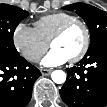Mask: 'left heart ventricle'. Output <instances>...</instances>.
<instances>
[{
  "label": "left heart ventricle",
  "instance_id": "1",
  "mask_svg": "<svg viewBox=\"0 0 107 107\" xmlns=\"http://www.w3.org/2000/svg\"><path fill=\"white\" fill-rule=\"evenodd\" d=\"M85 41V32L82 26L73 25L60 39L56 40L52 48L61 51L69 59L75 56Z\"/></svg>",
  "mask_w": 107,
  "mask_h": 107
}]
</instances>
